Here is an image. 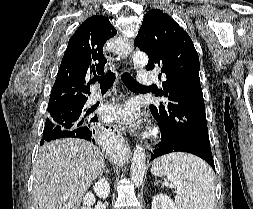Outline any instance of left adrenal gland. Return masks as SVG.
<instances>
[{"mask_svg":"<svg viewBox=\"0 0 253 209\" xmlns=\"http://www.w3.org/2000/svg\"><path fill=\"white\" fill-rule=\"evenodd\" d=\"M158 183H159V181L156 180V182L154 184L157 185Z\"/></svg>","mask_w":253,"mask_h":209,"instance_id":"left-adrenal-gland-1","label":"left adrenal gland"}]
</instances>
